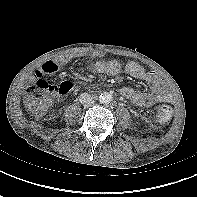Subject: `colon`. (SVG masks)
<instances>
[{
  "instance_id": "obj_1",
  "label": "colon",
  "mask_w": 197,
  "mask_h": 197,
  "mask_svg": "<svg viewBox=\"0 0 197 197\" xmlns=\"http://www.w3.org/2000/svg\"><path fill=\"white\" fill-rule=\"evenodd\" d=\"M72 82L64 81L52 84L45 79H37L31 86L25 98V104L34 114L44 113L50 105L49 93L65 95L71 91ZM172 117V108L169 105H161L156 110V118L161 123H167Z\"/></svg>"
}]
</instances>
